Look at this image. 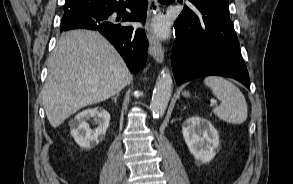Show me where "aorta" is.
Segmentation results:
<instances>
[{
    "label": "aorta",
    "instance_id": "aorta-1",
    "mask_svg": "<svg viewBox=\"0 0 293 184\" xmlns=\"http://www.w3.org/2000/svg\"><path fill=\"white\" fill-rule=\"evenodd\" d=\"M172 77L167 69H163L157 78L155 89L150 104L153 117H162L168 106L172 93Z\"/></svg>",
    "mask_w": 293,
    "mask_h": 184
}]
</instances>
